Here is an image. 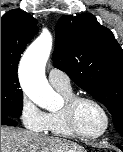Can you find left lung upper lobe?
I'll return each mask as SVG.
<instances>
[{
	"instance_id": "5c2ea615",
	"label": "left lung upper lobe",
	"mask_w": 123,
	"mask_h": 152,
	"mask_svg": "<svg viewBox=\"0 0 123 152\" xmlns=\"http://www.w3.org/2000/svg\"><path fill=\"white\" fill-rule=\"evenodd\" d=\"M54 66L103 103L123 137V50L89 13L62 16L55 28Z\"/></svg>"
}]
</instances>
